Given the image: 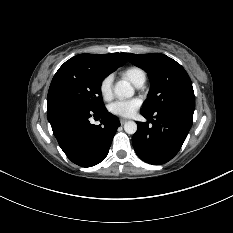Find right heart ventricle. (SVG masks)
<instances>
[{
  "mask_svg": "<svg viewBox=\"0 0 233 233\" xmlns=\"http://www.w3.org/2000/svg\"><path fill=\"white\" fill-rule=\"evenodd\" d=\"M123 77L128 79L131 83H133L135 86H139L141 84H144L146 80V73L145 71L137 66H131L126 68L122 72Z\"/></svg>",
  "mask_w": 233,
  "mask_h": 233,
  "instance_id": "right-heart-ventricle-1",
  "label": "right heart ventricle"
}]
</instances>
